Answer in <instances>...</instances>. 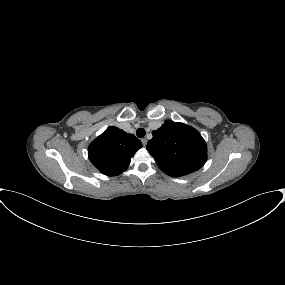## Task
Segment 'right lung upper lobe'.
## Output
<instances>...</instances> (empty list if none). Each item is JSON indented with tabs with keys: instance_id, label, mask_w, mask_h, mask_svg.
Wrapping results in <instances>:
<instances>
[{
	"instance_id": "obj_1",
	"label": "right lung upper lobe",
	"mask_w": 285,
	"mask_h": 285,
	"mask_svg": "<svg viewBox=\"0 0 285 285\" xmlns=\"http://www.w3.org/2000/svg\"><path fill=\"white\" fill-rule=\"evenodd\" d=\"M142 147L133 134L108 127L88 148L93 165L107 176H117L127 169L131 157Z\"/></svg>"
}]
</instances>
